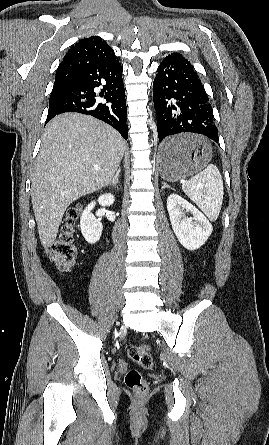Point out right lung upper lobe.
I'll list each match as a JSON object with an SVG mask.
<instances>
[{
  "label": "right lung upper lobe",
  "mask_w": 269,
  "mask_h": 445,
  "mask_svg": "<svg viewBox=\"0 0 269 445\" xmlns=\"http://www.w3.org/2000/svg\"><path fill=\"white\" fill-rule=\"evenodd\" d=\"M113 57H115L114 51L100 37L92 36L81 39L69 49L59 65L54 87L66 85L85 69Z\"/></svg>",
  "instance_id": "1"
}]
</instances>
